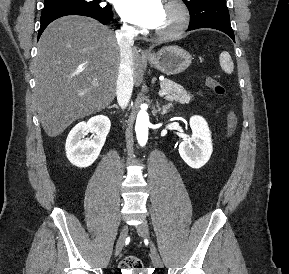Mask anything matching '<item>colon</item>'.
<instances>
[{
  "label": "colon",
  "mask_w": 289,
  "mask_h": 274,
  "mask_svg": "<svg viewBox=\"0 0 289 274\" xmlns=\"http://www.w3.org/2000/svg\"><path fill=\"white\" fill-rule=\"evenodd\" d=\"M205 84L212 92L217 96H224L226 93L225 87L211 76L205 77ZM238 125V118L233 110H230L227 114V133L232 136ZM120 269L125 273L127 271H139L143 270V264L138 257L127 256L120 262Z\"/></svg>",
  "instance_id": "1"
}]
</instances>
